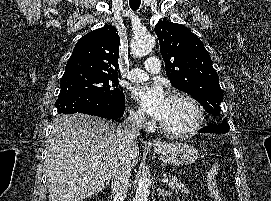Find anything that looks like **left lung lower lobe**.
I'll list each match as a JSON object with an SVG mask.
<instances>
[{
	"label": "left lung lower lobe",
	"mask_w": 271,
	"mask_h": 201,
	"mask_svg": "<svg viewBox=\"0 0 271 201\" xmlns=\"http://www.w3.org/2000/svg\"><path fill=\"white\" fill-rule=\"evenodd\" d=\"M198 132H200V133H225L223 128L220 127L218 124L208 125L202 129H200Z\"/></svg>",
	"instance_id": "left-lung-lower-lobe-1"
}]
</instances>
